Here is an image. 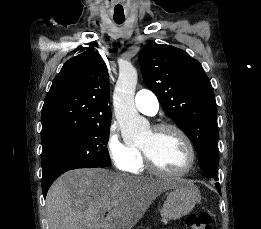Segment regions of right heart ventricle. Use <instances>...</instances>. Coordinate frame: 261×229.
Returning <instances> with one entry per match:
<instances>
[{"instance_id": "e07e8e85", "label": "right heart ventricle", "mask_w": 261, "mask_h": 229, "mask_svg": "<svg viewBox=\"0 0 261 229\" xmlns=\"http://www.w3.org/2000/svg\"><path fill=\"white\" fill-rule=\"evenodd\" d=\"M136 150H137V153H138V161H137L136 167L134 168L133 171L136 172V173H141L146 169V165H145V162L143 160L140 149L138 147H136Z\"/></svg>"}]
</instances>
